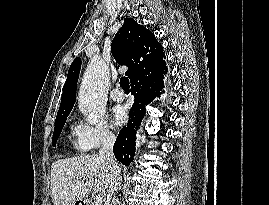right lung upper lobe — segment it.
I'll use <instances>...</instances> for the list:
<instances>
[{
    "instance_id": "right-lung-upper-lobe-1",
    "label": "right lung upper lobe",
    "mask_w": 269,
    "mask_h": 205,
    "mask_svg": "<svg viewBox=\"0 0 269 205\" xmlns=\"http://www.w3.org/2000/svg\"><path fill=\"white\" fill-rule=\"evenodd\" d=\"M111 50L120 65L128 66L125 74L130 78L131 85L147 77L162 79L167 72L162 45L152 32L131 18L125 19L116 33ZM80 68L81 59L77 57L69 68L56 119L69 115L74 106Z\"/></svg>"
}]
</instances>
